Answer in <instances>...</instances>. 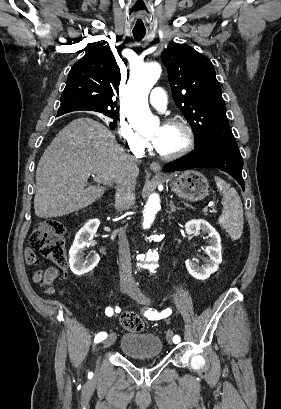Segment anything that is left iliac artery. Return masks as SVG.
Here are the masks:
<instances>
[{
  "label": "left iliac artery",
  "instance_id": "left-iliac-artery-1",
  "mask_svg": "<svg viewBox=\"0 0 281 409\" xmlns=\"http://www.w3.org/2000/svg\"><path fill=\"white\" fill-rule=\"evenodd\" d=\"M171 314V309H165L161 313H158L156 310H147L144 315L151 320H156V319H161L169 316ZM180 341V337L178 335H175L173 337V342L178 343Z\"/></svg>",
  "mask_w": 281,
  "mask_h": 409
}]
</instances>
